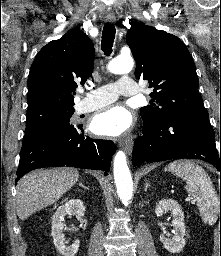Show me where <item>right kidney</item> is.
I'll list each match as a JSON object with an SVG mask.
<instances>
[{"mask_svg": "<svg viewBox=\"0 0 221 256\" xmlns=\"http://www.w3.org/2000/svg\"><path fill=\"white\" fill-rule=\"evenodd\" d=\"M86 209L80 199H71L64 205L60 206L52 216V237L54 245L63 256H75L79 249V240H76L72 245L66 246L63 232L64 217L66 215H76L83 217Z\"/></svg>", "mask_w": 221, "mask_h": 256, "instance_id": "ca27d5eb", "label": "right kidney"}]
</instances>
